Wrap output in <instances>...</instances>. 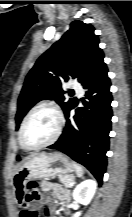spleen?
Listing matches in <instances>:
<instances>
[{"instance_id":"1","label":"spleen","mask_w":132,"mask_h":217,"mask_svg":"<svg viewBox=\"0 0 132 217\" xmlns=\"http://www.w3.org/2000/svg\"><path fill=\"white\" fill-rule=\"evenodd\" d=\"M74 164V168H75V171H76V174L78 177H82L83 174H84V169L82 168V166H80L79 164L77 163H73Z\"/></svg>"}]
</instances>
